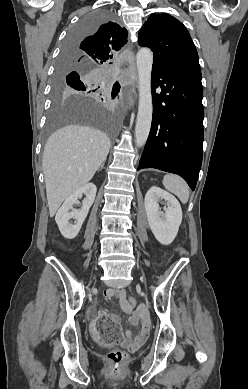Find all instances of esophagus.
<instances>
[{
    "instance_id": "34e87169",
    "label": "esophagus",
    "mask_w": 248,
    "mask_h": 389,
    "mask_svg": "<svg viewBox=\"0 0 248 389\" xmlns=\"http://www.w3.org/2000/svg\"><path fill=\"white\" fill-rule=\"evenodd\" d=\"M133 80H134V84L130 87V98H135L136 97V88H135V83H136V80H137V77L136 75H134L133 77Z\"/></svg>"
}]
</instances>
